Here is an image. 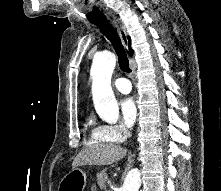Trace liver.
I'll return each instance as SVG.
<instances>
[{
  "label": "liver",
  "mask_w": 221,
  "mask_h": 191,
  "mask_svg": "<svg viewBox=\"0 0 221 191\" xmlns=\"http://www.w3.org/2000/svg\"><path fill=\"white\" fill-rule=\"evenodd\" d=\"M127 150L114 144H94L84 148L74 159L72 167L110 165L122 159Z\"/></svg>",
  "instance_id": "6515ba94"
}]
</instances>
